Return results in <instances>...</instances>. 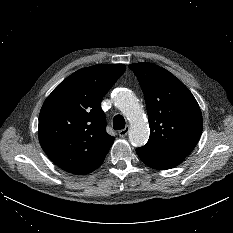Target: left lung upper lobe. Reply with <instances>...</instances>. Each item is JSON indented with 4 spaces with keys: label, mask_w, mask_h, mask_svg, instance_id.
Returning a JSON list of instances; mask_svg holds the SVG:
<instances>
[{
    "label": "left lung upper lobe",
    "mask_w": 233,
    "mask_h": 233,
    "mask_svg": "<svg viewBox=\"0 0 233 233\" xmlns=\"http://www.w3.org/2000/svg\"><path fill=\"white\" fill-rule=\"evenodd\" d=\"M146 100L150 137L145 149L186 157L202 133L199 105L188 88L169 71L153 63L130 64Z\"/></svg>",
    "instance_id": "5c2ea615"
}]
</instances>
